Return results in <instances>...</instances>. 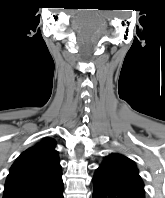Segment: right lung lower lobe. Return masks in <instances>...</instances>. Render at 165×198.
<instances>
[{"instance_id":"1","label":"right lung lower lobe","mask_w":165,"mask_h":198,"mask_svg":"<svg viewBox=\"0 0 165 198\" xmlns=\"http://www.w3.org/2000/svg\"><path fill=\"white\" fill-rule=\"evenodd\" d=\"M63 189L60 190L59 192H57L54 196H52L51 198H64L63 197Z\"/></svg>"}]
</instances>
